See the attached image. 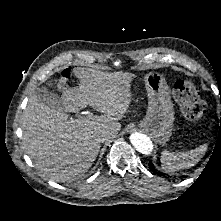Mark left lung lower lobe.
Returning <instances> with one entry per match:
<instances>
[{
  "label": "left lung lower lobe",
  "mask_w": 221,
  "mask_h": 221,
  "mask_svg": "<svg viewBox=\"0 0 221 221\" xmlns=\"http://www.w3.org/2000/svg\"><path fill=\"white\" fill-rule=\"evenodd\" d=\"M149 168H150L154 173H158L152 162L149 163Z\"/></svg>",
  "instance_id": "0a47b994"
}]
</instances>
